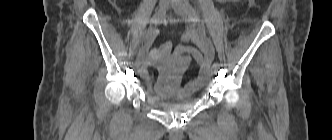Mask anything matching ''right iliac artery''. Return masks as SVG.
<instances>
[{
	"label": "right iliac artery",
	"mask_w": 332,
	"mask_h": 140,
	"mask_svg": "<svg viewBox=\"0 0 332 140\" xmlns=\"http://www.w3.org/2000/svg\"><path fill=\"white\" fill-rule=\"evenodd\" d=\"M165 12L166 10L165 9H159L155 14L154 16L152 17L151 21H150V24L151 26L149 27V29L143 34L142 36V39H141V49L145 51L148 50V42L152 36V25H156V24H159L164 15H165Z\"/></svg>",
	"instance_id": "1"
}]
</instances>
